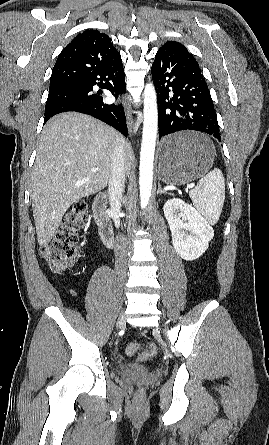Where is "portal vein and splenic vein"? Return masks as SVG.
<instances>
[{
	"label": "portal vein and splenic vein",
	"instance_id": "1",
	"mask_svg": "<svg viewBox=\"0 0 269 445\" xmlns=\"http://www.w3.org/2000/svg\"><path fill=\"white\" fill-rule=\"evenodd\" d=\"M97 170H98L97 168H92V169H91L92 172H97ZM193 186H194L193 184H189V185H187V188L190 189V188H192Z\"/></svg>",
	"mask_w": 269,
	"mask_h": 445
}]
</instances>
